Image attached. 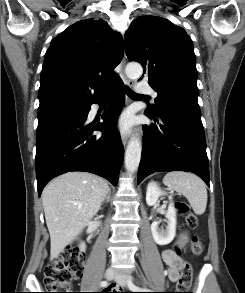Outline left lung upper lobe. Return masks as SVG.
Instances as JSON below:
<instances>
[{"label":"left lung upper lobe","instance_id":"1","mask_svg":"<svg viewBox=\"0 0 245 293\" xmlns=\"http://www.w3.org/2000/svg\"><path fill=\"white\" fill-rule=\"evenodd\" d=\"M125 51L158 93L152 111L180 106L200 113L193 43L185 30L157 16H140L125 33Z\"/></svg>","mask_w":245,"mask_h":293}]
</instances>
